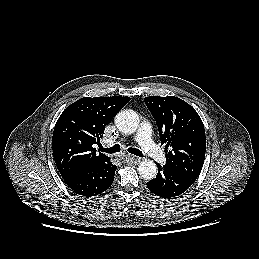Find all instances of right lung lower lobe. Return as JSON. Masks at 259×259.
I'll list each match as a JSON object with an SVG mask.
<instances>
[{
  "label": "right lung lower lobe",
  "mask_w": 259,
  "mask_h": 259,
  "mask_svg": "<svg viewBox=\"0 0 259 259\" xmlns=\"http://www.w3.org/2000/svg\"><path fill=\"white\" fill-rule=\"evenodd\" d=\"M115 171L116 166L109 159L104 163L82 168L63 179L75 193L90 197L101 194L112 185Z\"/></svg>",
  "instance_id": "right-lung-lower-lobe-1"
}]
</instances>
